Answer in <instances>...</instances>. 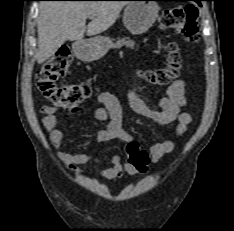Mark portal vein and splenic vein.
I'll return each mask as SVG.
<instances>
[{
	"label": "portal vein and splenic vein",
	"instance_id": "18ae733b",
	"mask_svg": "<svg viewBox=\"0 0 234 231\" xmlns=\"http://www.w3.org/2000/svg\"><path fill=\"white\" fill-rule=\"evenodd\" d=\"M94 16H95V15H94V14H92V15H90V16H89V18H90V19H92V18H94Z\"/></svg>",
	"mask_w": 234,
	"mask_h": 231
}]
</instances>
